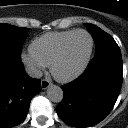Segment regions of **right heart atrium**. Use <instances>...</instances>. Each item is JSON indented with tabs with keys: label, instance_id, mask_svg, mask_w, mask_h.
<instances>
[{
	"label": "right heart atrium",
	"instance_id": "1",
	"mask_svg": "<svg viewBox=\"0 0 128 128\" xmlns=\"http://www.w3.org/2000/svg\"><path fill=\"white\" fill-rule=\"evenodd\" d=\"M21 60L28 70L35 76L40 75L46 66L36 58L30 51L21 54Z\"/></svg>",
	"mask_w": 128,
	"mask_h": 128
}]
</instances>
